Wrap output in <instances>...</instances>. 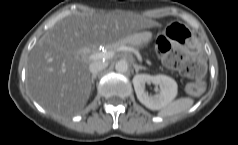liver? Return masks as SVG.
<instances>
[{"label":"liver","mask_w":238,"mask_h":145,"mask_svg":"<svg viewBox=\"0 0 238 145\" xmlns=\"http://www.w3.org/2000/svg\"><path fill=\"white\" fill-rule=\"evenodd\" d=\"M155 26L153 20L119 11L76 12L59 20L30 52L26 79L31 94L53 114L80 112L91 93L89 62L80 55Z\"/></svg>","instance_id":"liver-1"}]
</instances>
